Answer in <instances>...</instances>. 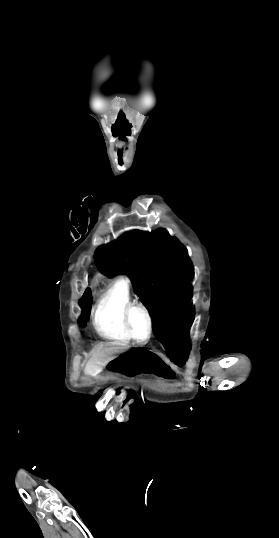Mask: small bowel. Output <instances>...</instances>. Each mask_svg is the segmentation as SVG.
<instances>
[{
  "label": "small bowel",
  "instance_id": "1",
  "mask_svg": "<svg viewBox=\"0 0 279 538\" xmlns=\"http://www.w3.org/2000/svg\"><path fill=\"white\" fill-rule=\"evenodd\" d=\"M158 377L163 379V380H173L174 379V376L172 373H170L169 371H162V372H159L158 373Z\"/></svg>",
  "mask_w": 279,
  "mask_h": 538
}]
</instances>
